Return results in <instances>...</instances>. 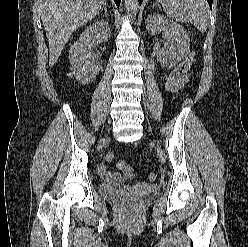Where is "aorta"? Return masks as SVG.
Returning <instances> with one entry per match:
<instances>
[{
	"label": "aorta",
	"mask_w": 248,
	"mask_h": 247,
	"mask_svg": "<svg viewBox=\"0 0 248 247\" xmlns=\"http://www.w3.org/2000/svg\"><path fill=\"white\" fill-rule=\"evenodd\" d=\"M125 6L128 13L136 15L139 7L138 0H125Z\"/></svg>",
	"instance_id": "obj_1"
}]
</instances>
